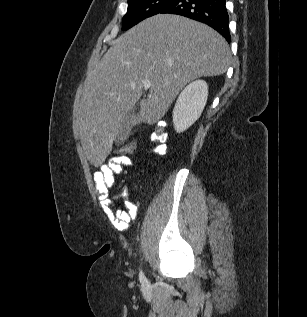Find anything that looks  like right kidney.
<instances>
[{
	"mask_svg": "<svg viewBox=\"0 0 307 317\" xmlns=\"http://www.w3.org/2000/svg\"><path fill=\"white\" fill-rule=\"evenodd\" d=\"M208 85L203 80H196L187 85L180 93L173 109V125L177 133L188 129L198 120L206 105Z\"/></svg>",
	"mask_w": 307,
	"mask_h": 317,
	"instance_id": "right-kidney-1",
	"label": "right kidney"
}]
</instances>
